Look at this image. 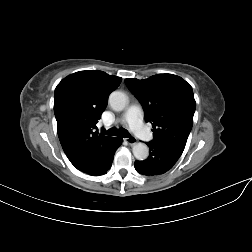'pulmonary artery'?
Returning a JSON list of instances; mask_svg holds the SVG:
<instances>
[{
	"mask_svg": "<svg viewBox=\"0 0 252 252\" xmlns=\"http://www.w3.org/2000/svg\"><path fill=\"white\" fill-rule=\"evenodd\" d=\"M141 109L138 105L130 106L123 115L130 130L139 138L149 140L152 137L150 131L144 126L140 118Z\"/></svg>",
	"mask_w": 252,
	"mask_h": 252,
	"instance_id": "e3ab8cb5",
	"label": "pulmonary artery"
}]
</instances>
